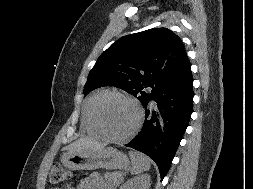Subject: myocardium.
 <instances>
[{"mask_svg": "<svg viewBox=\"0 0 253 189\" xmlns=\"http://www.w3.org/2000/svg\"><path fill=\"white\" fill-rule=\"evenodd\" d=\"M108 97H116L119 99H122L126 102H128L129 104H131L134 109L136 110V114H137V118H136V123L133 126V128L126 134L123 136H114L112 134H110L102 125L101 121L99 120L98 117V105L100 104V102ZM90 114H91V120L92 123L94 124V126L96 127V129L100 132V134L111 141H115V142H125L130 140L132 137H134L137 132L140 130L142 123H143V110L141 108V106L138 104V102L133 99L132 97L123 94L121 92H117V91H106L103 92L101 94H99L93 101L92 105H91V109H90Z\"/></svg>", "mask_w": 253, "mask_h": 189, "instance_id": "obj_1", "label": "myocardium"}]
</instances>
